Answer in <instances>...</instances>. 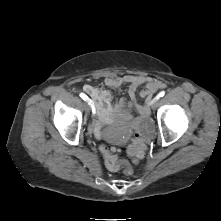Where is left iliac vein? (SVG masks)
<instances>
[{"label":"left iliac vein","instance_id":"obj_1","mask_svg":"<svg viewBox=\"0 0 221 221\" xmlns=\"http://www.w3.org/2000/svg\"><path fill=\"white\" fill-rule=\"evenodd\" d=\"M158 99L159 98H155L152 102V109H155L158 105ZM149 108H147V114H148Z\"/></svg>","mask_w":221,"mask_h":221}]
</instances>
